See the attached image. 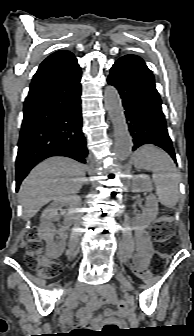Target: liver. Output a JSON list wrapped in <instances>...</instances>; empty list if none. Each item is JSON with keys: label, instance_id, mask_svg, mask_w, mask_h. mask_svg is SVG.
<instances>
[{"label": "liver", "instance_id": "6515ba94", "mask_svg": "<svg viewBox=\"0 0 194 336\" xmlns=\"http://www.w3.org/2000/svg\"><path fill=\"white\" fill-rule=\"evenodd\" d=\"M87 179L85 167L67 157L55 156L38 164L22 182L20 203L32 218L48 202L78 193Z\"/></svg>", "mask_w": 194, "mask_h": 336}]
</instances>
